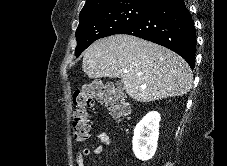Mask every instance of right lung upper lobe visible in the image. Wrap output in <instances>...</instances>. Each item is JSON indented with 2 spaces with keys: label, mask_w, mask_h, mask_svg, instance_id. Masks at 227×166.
<instances>
[{
  "label": "right lung upper lobe",
  "mask_w": 227,
  "mask_h": 166,
  "mask_svg": "<svg viewBox=\"0 0 227 166\" xmlns=\"http://www.w3.org/2000/svg\"><path fill=\"white\" fill-rule=\"evenodd\" d=\"M160 0H87L80 14L95 11L108 6L119 5L124 3L137 2L154 6Z\"/></svg>",
  "instance_id": "right-lung-upper-lobe-1"
}]
</instances>
